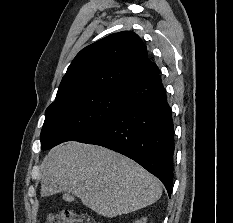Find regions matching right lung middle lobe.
<instances>
[{
  "instance_id": "dd1d6c3e",
  "label": "right lung middle lobe",
  "mask_w": 233,
  "mask_h": 223,
  "mask_svg": "<svg viewBox=\"0 0 233 223\" xmlns=\"http://www.w3.org/2000/svg\"><path fill=\"white\" fill-rule=\"evenodd\" d=\"M122 90L91 89L56 98L45 111L41 148L46 150L69 140L79 141L122 108Z\"/></svg>"
}]
</instances>
